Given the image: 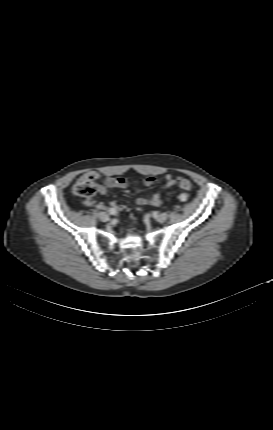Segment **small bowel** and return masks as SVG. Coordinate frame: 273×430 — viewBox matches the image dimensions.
Here are the masks:
<instances>
[{
    "mask_svg": "<svg viewBox=\"0 0 273 430\" xmlns=\"http://www.w3.org/2000/svg\"><path fill=\"white\" fill-rule=\"evenodd\" d=\"M91 175L95 179L101 178V174L99 172H92ZM156 179L154 177H147L143 180V185L146 187H150L155 183ZM184 181H188L187 179L183 178H174L171 174L165 175V184L164 189L170 188L172 186L178 185L181 188V184ZM190 182V181H189ZM128 186V180L124 177H110L106 176L103 180V184L98 187V192L100 194H105L107 191V188L109 189H124ZM137 205H153V206H159L162 203L161 200V194L159 192L151 195L150 197H139L136 199ZM82 204L86 207H92L96 206L98 209H103L104 206L101 203L96 204L95 202L91 200H84ZM115 208L118 211H122L126 209V206L122 203L113 202L112 207Z\"/></svg>",
    "mask_w": 273,
    "mask_h": 430,
    "instance_id": "obj_1",
    "label": "small bowel"
}]
</instances>
